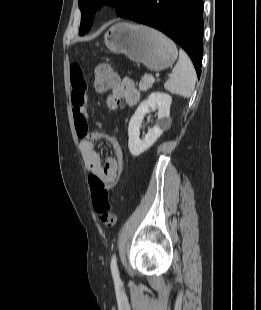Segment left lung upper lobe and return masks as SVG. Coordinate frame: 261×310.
Returning <instances> with one entry per match:
<instances>
[{"instance_id":"1","label":"left lung upper lobe","mask_w":261,"mask_h":310,"mask_svg":"<svg viewBox=\"0 0 261 310\" xmlns=\"http://www.w3.org/2000/svg\"><path fill=\"white\" fill-rule=\"evenodd\" d=\"M134 2L135 0H79V7L82 13L79 34L83 35L90 30L96 10L103 4L107 3L117 6L119 16L124 17L132 9Z\"/></svg>"}]
</instances>
